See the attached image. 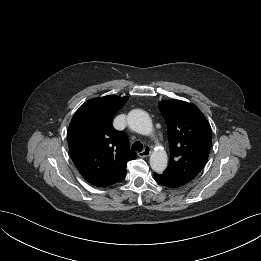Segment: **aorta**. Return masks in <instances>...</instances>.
Here are the masks:
<instances>
[{
  "label": "aorta",
  "instance_id": "aorta-1",
  "mask_svg": "<svg viewBox=\"0 0 261 261\" xmlns=\"http://www.w3.org/2000/svg\"><path fill=\"white\" fill-rule=\"evenodd\" d=\"M127 123L131 130L142 134L150 135L153 132V123L148 115L143 110L135 109L128 113ZM168 163L167 153L164 149H155L150 155V166L157 172H163Z\"/></svg>",
  "mask_w": 261,
  "mask_h": 261
}]
</instances>
